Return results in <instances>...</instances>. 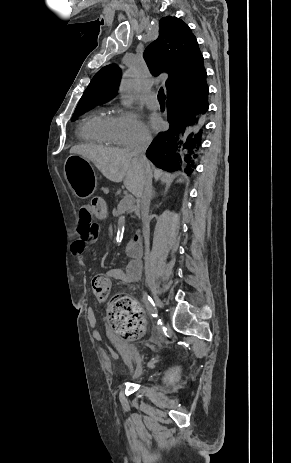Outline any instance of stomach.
Instances as JSON below:
<instances>
[{
	"label": "stomach",
	"instance_id": "stomach-1",
	"mask_svg": "<svg viewBox=\"0 0 291 463\" xmlns=\"http://www.w3.org/2000/svg\"><path fill=\"white\" fill-rule=\"evenodd\" d=\"M65 178L73 193L81 199L88 198L95 190V177L89 160L71 154L64 164Z\"/></svg>",
	"mask_w": 291,
	"mask_h": 463
}]
</instances>
